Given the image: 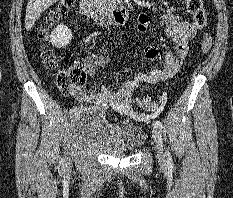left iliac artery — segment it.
Instances as JSON below:
<instances>
[{"label": "left iliac artery", "mask_w": 233, "mask_h": 198, "mask_svg": "<svg viewBox=\"0 0 233 198\" xmlns=\"http://www.w3.org/2000/svg\"><path fill=\"white\" fill-rule=\"evenodd\" d=\"M153 125H154V127L158 128L160 130L164 129L163 124L160 121H158V120L154 121ZM166 156H167L168 163H171L172 160H171V155H170L169 151H167Z\"/></svg>", "instance_id": "1"}]
</instances>
